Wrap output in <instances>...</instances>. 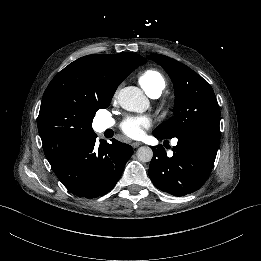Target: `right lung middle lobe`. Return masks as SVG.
Wrapping results in <instances>:
<instances>
[{
	"label": "right lung middle lobe",
	"mask_w": 261,
	"mask_h": 261,
	"mask_svg": "<svg viewBox=\"0 0 261 261\" xmlns=\"http://www.w3.org/2000/svg\"><path fill=\"white\" fill-rule=\"evenodd\" d=\"M109 106V103L105 104L102 108H107Z\"/></svg>",
	"instance_id": "dd1d6c3e"
}]
</instances>
